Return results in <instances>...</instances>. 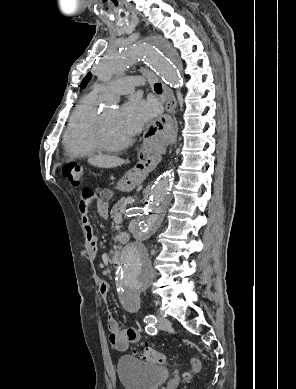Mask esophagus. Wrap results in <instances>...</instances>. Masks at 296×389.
Instances as JSON below:
<instances>
[{
  "mask_svg": "<svg viewBox=\"0 0 296 389\" xmlns=\"http://www.w3.org/2000/svg\"><path fill=\"white\" fill-rule=\"evenodd\" d=\"M162 86L165 97V109L167 112H163V117L160 120L152 118L150 126H147L144 129V136L147 139H151L150 144L154 148L160 146V139L166 137V131H172L176 121V99L172 90L166 84L162 83ZM138 158L139 160L135 165L136 169H157L159 163L163 160V153L161 150H153L152 148L143 145L139 150Z\"/></svg>",
  "mask_w": 296,
  "mask_h": 389,
  "instance_id": "34e87169",
  "label": "esophagus"
}]
</instances>
